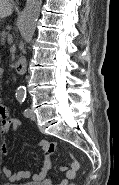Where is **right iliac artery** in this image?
<instances>
[{
	"label": "right iliac artery",
	"instance_id": "obj_1",
	"mask_svg": "<svg viewBox=\"0 0 119 185\" xmlns=\"http://www.w3.org/2000/svg\"><path fill=\"white\" fill-rule=\"evenodd\" d=\"M16 97L21 98V97H24V95L22 93H18V94H16Z\"/></svg>",
	"mask_w": 119,
	"mask_h": 185
}]
</instances>
